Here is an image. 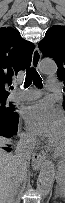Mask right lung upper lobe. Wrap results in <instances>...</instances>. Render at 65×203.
Instances as JSON below:
<instances>
[{"label": "right lung upper lobe", "mask_w": 65, "mask_h": 203, "mask_svg": "<svg viewBox=\"0 0 65 203\" xmlns=\"http://www.w3.org/2000/svg\"><path fill=\"white\" fill-rule=\"evenodd\" d=\"M33 50L34 44L24 40L17 30L0 28V97L9 95L6 89L18 71L31 65Z\"/></svg>", "instance_id": "right-lung-upper-lobe-1"}]
</instances>
